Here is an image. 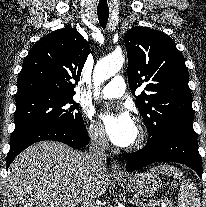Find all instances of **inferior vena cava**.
I'll list each match as a JSON object with an SVG mask.
<instances>
[{"label":"inferior vena cava","mask_w":206,"mask_h":207,"mask_svg":"<svg viewBox=\"0 0 206 207\" xmlns=\"http://www.w3.org/2000/svg\"><path fill=\"white\" fill-rule=\"evenodd\" d=\"M90 139L91 143L89 152L87 153V162L92 173L90 186L93 189L100 175L106 171L104 160L106 159L105 149L107 147V138L101 130H94L90 132ZM94 198V196L89 194L85 196L83 207H99L92 201Z\"/></svg>","instance_id":"1"}]
</instances>
